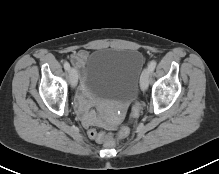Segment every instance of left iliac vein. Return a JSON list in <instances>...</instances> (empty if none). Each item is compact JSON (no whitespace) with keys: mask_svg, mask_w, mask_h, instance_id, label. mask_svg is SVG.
Instances as JSON below:
<instances>
[{"mask_svg":"<svg viewBox=\"0 0 219 174\" xmlns=\"http://www.w3.org/2000/svg\"><path fill=\"white\" fill-rule=\"evenodd\" d=\"M150 73L151 72L149 71V69L146 68L140 77V88L143 91H145L148 88Z\"/></svg>","mask_w":219,"mask_h":174,"instance_id":"4c4485c4","label":"left iliac vein"}]
</instances>
